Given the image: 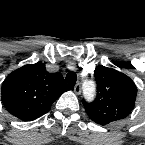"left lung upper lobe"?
<instances>
[{
	"instance_id": "left-lung-upper-lobe-1",
	"label": "left lung upper lobe",
	"mask_w": 145,
	"mask_h": 145,
	"mask_svg": "<svg viewBox=\"0 0 145 145\" xmlns=\"http://www.w3.org/2000/svg\"><path fill=\"white\" fill-rule=\"evenodd\" d=\"M96 99L83 105L88 116L97 124L106 125L124 119L135 105L137 88L127 75L104 66L96 67Z\"/></svg>"
}]
</instances>
